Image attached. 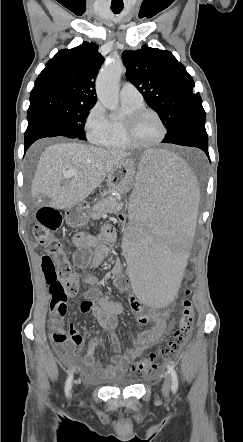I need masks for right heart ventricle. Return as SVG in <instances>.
<instances>
[{
  "label": "right heart ventricle",
  "mask_w": 243,
  "mask_h": 442,
  "mask_svg": "<svg viewBox=\"0 0 243 442\" xmlns=\"http://www.w3.org/2000/svg\"><path fill=\"white\" fill-rule=\"evenodd\" d=\"M144 107L143 102L131 103L121 101V115L119 117L107 118V127L105 132L94 141L99 146L126 150L131 147L127 144L123 133L124 118L131 112Z\"/></svg>",
  "instance_id": "1"
}]
</instances>
